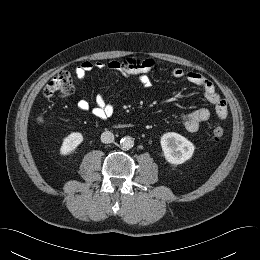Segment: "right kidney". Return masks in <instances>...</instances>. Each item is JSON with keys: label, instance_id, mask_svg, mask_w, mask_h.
Masks as SVG:
<instances>
[{"label": "right kidney", "instance_id": "ca27d5eb", "mask_svg": "<svg viewBox=\"0 0 260 260\" xmlns=\"http://www.w3.org/2000/svg\"><path fill=\"white\" fill-rule=\"evenodd\" d=\"M83 141V135L79 132H73L64 138L63 143L60 148L61 155H68L73 150H75L78 145Z\"/></svg>", "mask_w": 260, "mask_h": 260}]
</instances>
